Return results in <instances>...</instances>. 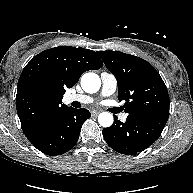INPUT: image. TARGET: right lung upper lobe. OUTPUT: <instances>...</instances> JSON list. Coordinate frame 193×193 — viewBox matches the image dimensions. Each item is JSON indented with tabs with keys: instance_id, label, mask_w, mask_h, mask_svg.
Returning <instances> with one entry per match:
<instances>
[{
	"instance_id": "1",
	"label": "right lung upper lobe",
	"mask_w": 193,
	"mask_h": 193,
	"mask_svg": "<svg viewBox=\"0 0 193 193\" xmlns=\"http://www.w3.org/2000/svg\"><path fill=\"white\" fill-rule=\"evenodd\" d=\"M102 66L94 51L70 46L51 48L33 57L21 73L16 95L26 137L69 108L62 104L65 89L73 87L85 71Z\"/></svg>"
}]
</instances>
